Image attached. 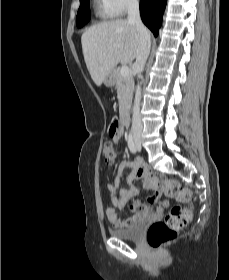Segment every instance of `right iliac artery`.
I'll return each mask as SVG.
<instances>
[{"label":"right iliac artery","instance_id":"1","mask_svg":"<svg viewBox=\"0 0 229 280\" xmlns=\"http://www.w3.org/2000/svg\"><path fill=\"white\" fill-rule=\"evenodd\" d=\"M128 147L132 153H134V154L136 153V146L134 144L133 137L131 134H129V137H128Z\"/></svg>","mask_w":229,"mask_h":280}]
</instances>
